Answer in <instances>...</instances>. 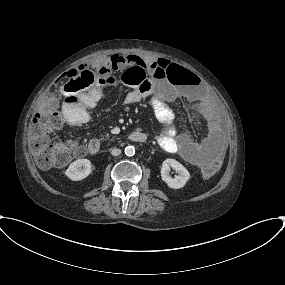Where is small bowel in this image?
Returning a JSON list of instances; mask_svg holds the SVG:
<instances>
[{
	"mask_svg": "<svg viewBox=\"0 0 285 285\" xmlns=\"http://www.w3.org/2000/svg\"><path fill=\"white\" fill-rule=\"evenodd\" d=\"M125 64H136L138 61L129 57L124 58ZM152 61H144L147 71L150 73L153 85H166L168 78L162 73L159 67H154ZM176 68L185 70L187 77L184 80L186 85L194 84L195 74L182 66ZM112 79H96L92 84L81 90L64 92L63 114L70 126H78L89 118V108L95 107L101 100L102 94L107 87L113 85ZM177 95V93H176ZM142 99H148L155 118L164 125L163 130L157 135L158 145L165 151L180 155L190 163L200 167L212 164L224 151V138L219 129L210 121L205 120L203 127L206 136L203 140L197 141L193 135H180L175 125V114L167 102L158 97L152 87L144 91L131 90L125 96V102L134 104ZM84 121L81 123L80 119Z\"/></svg>",
	"mask_w": 285,
	"mask_h": 285,
	"instance_id": "obj_1",
	"label": "small bowel"
}]
</instances>
